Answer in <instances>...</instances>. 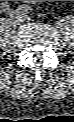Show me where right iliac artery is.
Returning <instances> with one entry per match:
<instances>
[{"mask_svg":"<svg viewBox=\"0 0 74 122\" xmlns=\"http://www.w3.org/2000/svg\"><path fill=\"white\" fill-rule=\"evenodd\" d=\"M1 9H2L4 12L8 11V10H9V4L6 3V2L2 3V4H1Z\"/></svg>","mask_w":74,"mask_h":122,"instance_id":"right-iliac-artery-1","label":"right iliac artery"}]
</instances>
